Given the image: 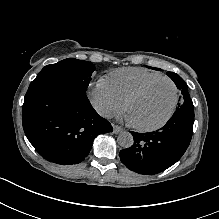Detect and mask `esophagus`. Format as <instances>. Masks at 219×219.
Returning <instances> with one entry per match:
<instances>
[{
  "instance_id": "34e87169",
  "label": "esophagus",
  "mask_w": 219,
  "mask_h": 219,
  "mask_svg": "<svg viewBox=\"0 0 219 219\" xmlns=\"http://www.w3.org/2000/svg\"><path fill=\"white\" fill-rule=\"evenodd\" d=\"M121 132H123V128L122 127H120L118 125H113V133L119 134Z\"/></svg>"
}]
</instances>
